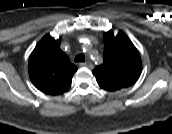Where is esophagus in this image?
<instances>
[{
  "mask_svg": "<svg viewBox=\"0 0 172 134\" xmlns=\"http://www.w3.org/2000/svg\"><path fill=\"white\" fill-rule=\"evenodd\" d=\"M81 67H87L92 69L93 68V64L90 61L84 62V63H80L79 64Z\"/></svg>",
  "mask_w": 172,
  "mask_h": 134,
  "instance_id": "esophagus-1",
  "label": "esophagus"
}]
</instances>
